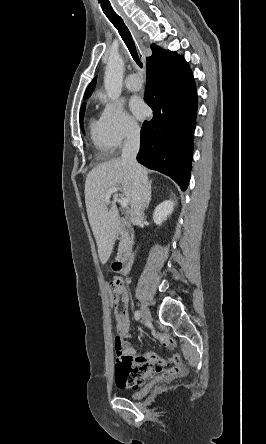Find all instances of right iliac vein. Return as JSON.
Returning <instances> with one entry per match:
<instances>
[{"label": "right iliac vein", "mask_w": 266, "mask_h": 444, "mask_svg": "<svg viewBox=\"0 0 266 444\" xmlns=\"http://www.w3.org/2000/svg\"><path fill=\"white\" fill-rule=\"evenodd\" d=\"M140 316H141V318H142V321H143L145 324H146V323L150 320V318H151L150 311H149V309H148V307L146 306L145 303H142V304H141Z\"/></svg>", "instance_id": "obj_1"}]
</instances>
